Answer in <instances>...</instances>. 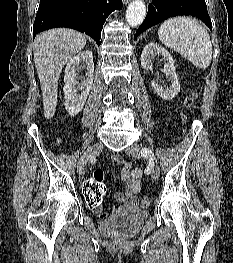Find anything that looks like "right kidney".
<instances>
[{"label":"right kidney","instance_id":"right-kidney-1","mask_svg":"<svg viewBox=\"0 0 233 263\" xmlns=\"http://www.w3.org/2000/svg\"><path fill=\"white\" fill-rule=\"evenodd\" d=\"M85 68V76H79L77 71ZM94 62L90 50H85L74 56L66 66L64 76L65 109L71 116L77 115L84 107L93 85ZM81 80V83L78 82Z\"/></svg>","mask_w":233,"mask_h":263}]
</instances>
